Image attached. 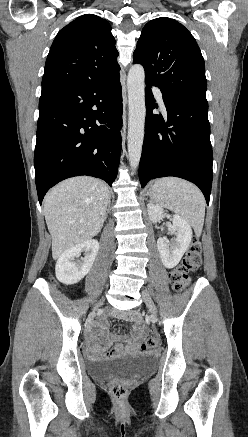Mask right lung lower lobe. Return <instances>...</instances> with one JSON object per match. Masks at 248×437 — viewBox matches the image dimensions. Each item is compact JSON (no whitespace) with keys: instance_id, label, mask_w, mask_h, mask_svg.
Here are the masks:
<instances>
[{"instance_id":"right-lung-lower-lobe-1","label":"right lung lower lobe","mask_w":248,"mask_h":437,"mask_svg":"<svg viewBox=\"0 0 248 437\" xmlns=\"http://www.w3.org/2000/svg\"><path fill=\"white\" fill-rule=\"evenodd\" d=\"M121 127L119 72L92 84L42 88L34 153L40 204L51 187L69 177L93 176L111 186L118 171Z\"/></svg>"}]
</instances>
